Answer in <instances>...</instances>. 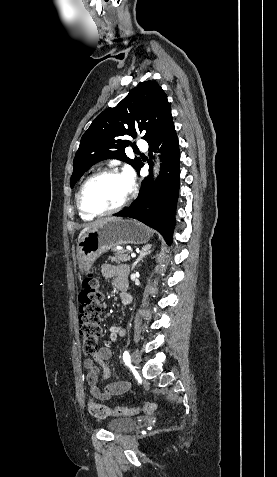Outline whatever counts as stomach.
<instances>
[{"label":"stomach","mask_w":277,"mask_h":477,"mask_svg":"<svg viewBox=\"0 0 277 477\" xmlns=\"http://www.w3.org/2000/svg\"><path fill=\"white\" fill-rule=\"evenodd\" d=\"M149 239L148 228L136 220H105L79 237L76 249L79 268L86 271L100 255L116 246L145 244Z\"/></svg>","instance_id":"1"}]
</instances>
